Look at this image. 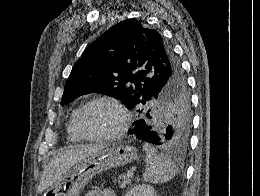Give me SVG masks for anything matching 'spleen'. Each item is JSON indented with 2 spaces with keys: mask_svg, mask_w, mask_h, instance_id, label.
I'll return each mask as SVG.
<instances>
[{
  "mask_svg": "<svg viewBox=\"0 0 260 196\" xmlns=\"http://www.w3.org/2000/svg\"><path fill=\"white\" fill-rule=\"evenodd\" d=\"M143 150L146 154V168L143 174L144 182L149 184H165L177 174V166L175 162L158 154L152 144H144Z\"/></svg>",
  "mask_w": 260,
  "mask_h": 196,
  "instance_id": "spleen-1",
  "label": "spleen"
}]
</instances>
